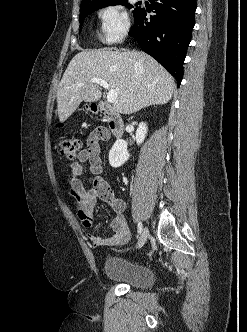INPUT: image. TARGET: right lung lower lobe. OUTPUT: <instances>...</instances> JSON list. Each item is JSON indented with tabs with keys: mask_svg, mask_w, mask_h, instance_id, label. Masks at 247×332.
<instances>
[{
	"mask_svg": "<svg viewBox=\"0 0 247 332\" xmlns=\"http://www.w3.org/2000/svg\"><path fill=\"white\" fill-rule=\"evenodd\" d=\"M155 1H152L151 8L156 15L151 16L148 21L147 11L138 8L134 15L135 24L129 35L136 39L143 51L175 77L179 86L195 25L196 0Z\"/></svg>",
	"mask_w": 247,
	"mask_h": 332,
	"instance_id": "98d812e1",
	"label": "right lung lower lobe"
}]
</instances>
